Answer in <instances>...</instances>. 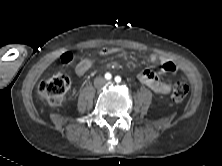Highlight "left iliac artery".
I'll use <instances>...</instances> for the list:
<instances>
[{
  "label": "left iliac artery",
  "mask_w": 222,
  "mask_h": 166,
  "mask_svg": "<svg viewBox=\"0 0 222 166\" xmlns=\"http://www.w3.org/2000/svg\"><path fill=\"white\" fill-rule=\"evenodd\" d=\"M115 82H117V83L121 82V77L120 76H116L115 77Z\"/></svg>",
  "instance_id": "left-iliac-artery-1"
}]
</instances>
